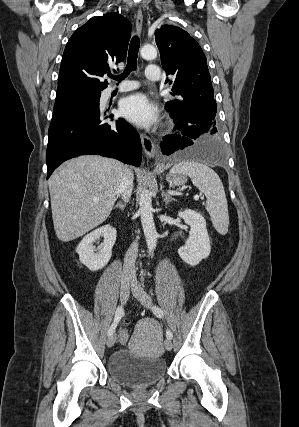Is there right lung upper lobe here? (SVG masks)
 <instances>
[{"label":"right lung upper lobe","mask_w":299,"mask_h":427,"mask_svg":"<svg viewBox=\"0 0 299 427\" xmlns=\"http://www.w3.org/2000/svg\"><path fill=\"white\" fill-rule=\"evenodd\" d=\"M130 36V22L118 13L93 17L78 28L63 53L56 103L105 89L108 83L100 78L124 60Z\"/></svg>","instance_id":"obj_1"}]
</instances>
